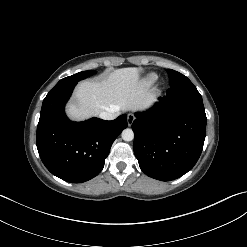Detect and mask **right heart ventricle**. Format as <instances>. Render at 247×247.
<instances>
[{"mask_svg": "<svg viewBox=\"0 0 247 247\" xmlns=\"http://www.w3.org/2000/svg\"><path fill=\"white\" fill-rule=\"evenodd\" d=\"M156 79L157 76L155 74H151L145 78L144 83L145 85H151L152 83L155 82Z\"/></svg>", "mask_w": 247, "mask_h": 247, "instance_id": "obj_1", "label": "right heart ventricle"}]
</instances>
